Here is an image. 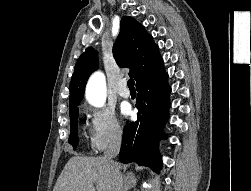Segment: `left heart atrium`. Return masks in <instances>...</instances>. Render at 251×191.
Segmentation results:
<instances>
[{
  "label": "left heart atrium",
  "instance_id": "1",
  "mask_svg": "<svg viewBox=\"0 0 251 191\" xmlns=\"http://www.w3.org/2000/svg\"><path fill=\"white\" fill-rule=\"evenodd\" d=\"M129 113H130L129 108H128V107H124V108H123V114H124V115H128Z\"/></svg>",
  "mask_w": 251,
  "mask_h": 191
}]
</instances>
